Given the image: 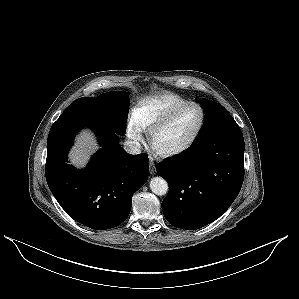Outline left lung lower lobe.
I'll return each mask as SVG.
<instances>
[{
  "instance_id": "left-lung-lower-lobe-1",
  "label": "left lung lower lobe",
  "mask_w": 299,
  "mask_h": 299,
  "mask_svg": "<svg viewBox=\"0 0 299 299\" xmlns=\"http://www.w3.org/2000/svg\"><path fill=\"white\" fill-rule=\"evenodd\" d=\"M244 149L242 132L230 118L181 154L159 163L157 172L169 183L162 202L167 221L195 230L219 218L241 189Z\"/></svg>"
}]
</instances>
